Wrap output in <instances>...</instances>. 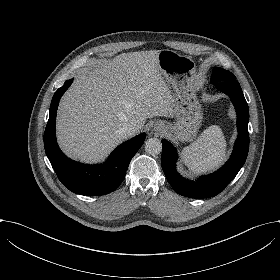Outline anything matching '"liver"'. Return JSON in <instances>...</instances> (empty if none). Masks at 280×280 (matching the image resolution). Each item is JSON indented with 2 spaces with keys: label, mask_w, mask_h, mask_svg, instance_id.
Returning a JSON list of instances; mask_svg holds the SVG:
<instances>
[{
  "label": "liver",
  "mask_w": 280,
  "mask_h": 280,
  "mask_svg": "<svg viewBox=\"0 0 280 280\" xmlns=\"http://www.w3.org/2000/svg\"><path fill=\"white\" fill-rule=\"evenodd\" d=\"M159 51L122 53L78 75L57 115L62 151L86 163L103 161L119 144L118 129L143 128L148 118L174 116V98L158 67Z\"/></svg>",
  "instance_id": "liver-1"
}]
</instances>
